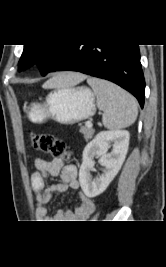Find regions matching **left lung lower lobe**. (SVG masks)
Returning <instances> with one entry per match:
<instances>
[{
	"label": "left lung lower lobe",
	"mask_w": 166,
	"mask_h": 267,
	"mask_svg": "<svg viewBox=\"0 0 166 267\" xmlns=\"http://www.w3.org/2000/svg\"><path fill=\"white\" fill-rule=\"evenodd\" d=\"M68 70L114 82L144 105L145 80L138 45H65L47 73Z\"/></svg>",
	"instance_id": "0a47b994"
}]
</instances>
